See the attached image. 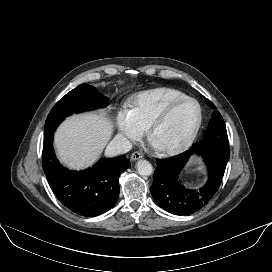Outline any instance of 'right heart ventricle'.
<instances>
[{
    "label": "right heart ventricle",
    "mask_w": 272,
    "mask_h": 272,
    "mask_svg": "<svg viewBox=\"0 0 272 272\" xmlns=\"http://www.w3.org/2000/svg\"><path fill=\"white\" fill-rule=\"evenodd\" d=\"M186 97L183 92L174 88H155L140 92L131 98L129 111L144 129L172 101Z\"/></svg>",
    "instance_id": "right-heart-ventricle-1"
}]
</instances>
